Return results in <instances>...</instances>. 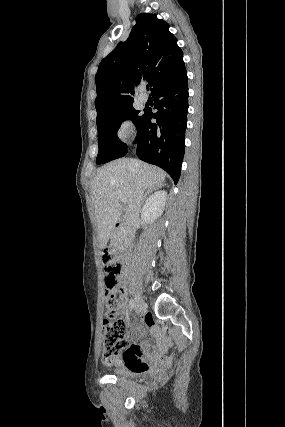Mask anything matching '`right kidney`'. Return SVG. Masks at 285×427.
<instances>
[{"instance_id": "obj_1", "label": "right kidney", "mask_w": 285, "mask_h": 427, "mask_svg": "<svg viewBox=\"0 0 285 427\" xmlns=\"http://www.w3.org/2000/svg\"><path fill=\"white\" fill-rule=\"evenodd\" d=\"M167 198V192L164 190L152 194L145 202L142 208V218L146 223L152 224L154 220L163 213Z\"/></svg>"}]
</instances>
